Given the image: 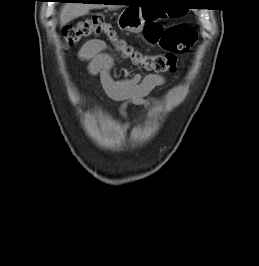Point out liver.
<instances>
[{
  "mask_svg": "<svg viewBox=\"0 0 259 266\" xmlns=\"http://www.w3.org/2000/svg\"><path fill=\"white\" fill-rule=\"evenodd\" d=\"M96 7L95 4L66 3L60 11V25L64 26L73 19L86 15L90 9Z\"/></svg>",
  "mask_w": 259,
  "mask_h": 266,
  "instance_id": "1",
  "label": "liver"
}]
</instances>
